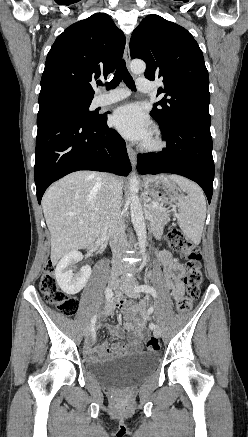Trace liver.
Wrapping results in <instances>:
<instances>
[{
    "instance_id": "6515ba94",
    "label": "liver",
    "mask_w": 248,
    "mask_h": 437,
    "mask_svg": "<svg viewBox=\"0 0 248 437\" xmlns=\"http://www.w3.org/2000/svg\"><path fill=\"white\" fill-rule=\"evenodd\" d=\"M123 185V179L117 178ZM105 175L79 171L53 184L44 194L42 208L51 234V261L86 248L104 227ZM94 214V217H91Z\"/></svg>"
}]
</instances>
